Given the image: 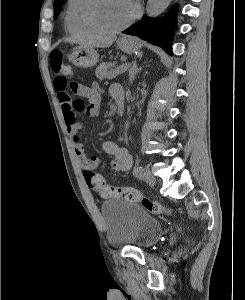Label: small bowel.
Masks as SVG:
<instances>
[{
  "mask_svg": "<svg viewBox=\"0 0 245 300\" xmlns=\"http://www.w3.org/2000/svg\"><path fill=\"white\" fill-rule=\"evenodd\" d=\"M54 89L74 152L83 169L85 180L87 181V175L95 173L94 170L98 167L99 160L96 156L89 155L86 152L80 134L84 125L77 120V113L84 111L88 116L94 117L99 115L102 104V92L97 86L87 87L71 82L59 75L54 79ZM116 92H122V90L118 86H113L111 89L113 97ZM72 95L79 97L76 100H82L84 102L85 107L82 110L75 109V100L72 99ZM101 146L105 153L113 157L110 164L111 172H125L131 168L133 160L126 148L110 140L103 141Z\"/></svg>",
  "mask_w": 245,
  "mask_h": 300,
  "instance_id": "obj_1",
  "label": "small bowel"
}]
</instances>
